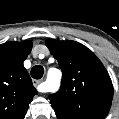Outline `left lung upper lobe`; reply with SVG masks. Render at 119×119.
I'll return each mask as SVG.
<instances>
[{
    "mask_svg": "<svg viewBox=\"0 0 119 119\" xmlns=\"http://www.w3.org/2000/svg\"><path fill=\"white\" fill-rule=\"evenodd\" d=\"M63 77L60 90L50 95L57 117L105 119L113 98L110 76L96 55L75 41L46 40Z\"/></svg>",
    "mask_w": 119,
    "mask_h": 119,
    "instance_id": "obj_1",
    "label": "left lung upper lobe"
}]
</instances>
